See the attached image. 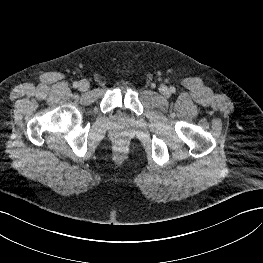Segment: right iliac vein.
I'll return each instance as SVG.
<instances>
[{
    "label": "right iliac vein",
    "instance_id": "1",
    "mask_svg": "<svg viewBox=\"0 0 263 263\" xmlns=\"http://www.w3.org/2000/svg\"><path fill=\"white\" fill-rule=\"evenodd\" d=\"M90 87V84L87 80H81L79 83V90L80 91H87Z\"/></svg>",
    "mask_w": 263,
    "mask_h": 263
}]
</instances>
